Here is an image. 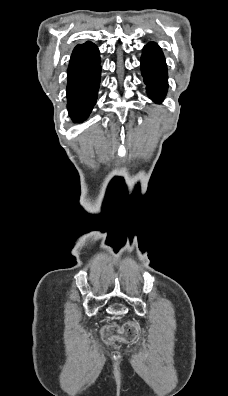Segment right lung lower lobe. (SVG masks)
Wrapping results in <instances>:
<instances>
[{"label": "right lung lower lobe", "mask_w": 228, "mask_h": 396, "mask_svg": "<svg viewBox=\"0 0 228 396\" xmlns=\"http://www.w3.org/2000/svg\"><path fill=\"white\" fill-rule=\"evenodd\" d=\"M67 74L68 111L74 121L80 122L88 117L97 99L101 74L97 46L77 45L71 55Z\"/></svg>", "instance_id": "98d812e1"}]
</instances>
